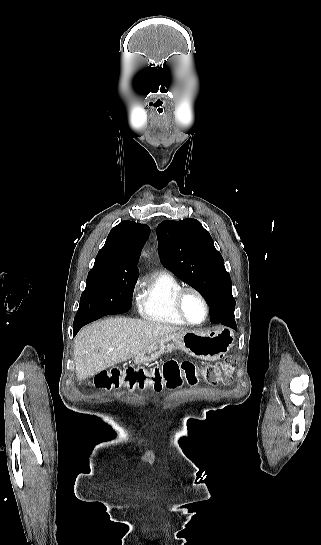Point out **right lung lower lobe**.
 <instances>
[{
  "instance_id": "right-lung-lower-lobe-1",
  "label": "right lung lower lobe",
  "mask_w": 321,
  "mask_h": 545,
  "mask_svg": "<svg viewBox=\"0 0 321 545\" xmlns=\"http://www.w3.org/2000/svg\"><path fill=\"white\" fill-rule=\"evenodd\" d=\"M132 305V295H126L115 298L111 301V304L108 305L106 309V315L111 314H121L127 312ZM94 321L93 319L82 320L74 322V335L83 327L84 325Z\"/></svg>"
}]
</instances>
